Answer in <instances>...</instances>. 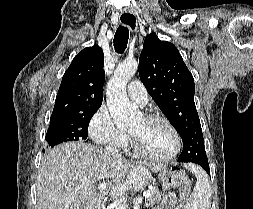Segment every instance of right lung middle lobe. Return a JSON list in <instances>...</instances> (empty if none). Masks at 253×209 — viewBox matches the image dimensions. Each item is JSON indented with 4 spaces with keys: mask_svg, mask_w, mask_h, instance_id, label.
<instances>
[{
    "mask_svg": "<svg viewBox=\"0 0 253 209\" xmlns=\"http://www.w3.org/2000/svg\"><path fill=\"white\" fill-rule=\"evenodd\" d=\"M98 109L99 107L83 113L51 118L45 138L47 147L67 141H86L90 119Z\"/></svg>",
    "mask_w": 253,
    "mask_h": 209,
    "instance_id": "dd1d6c3e",
    "label": "right lung middle lobe"
}]
</instances>
